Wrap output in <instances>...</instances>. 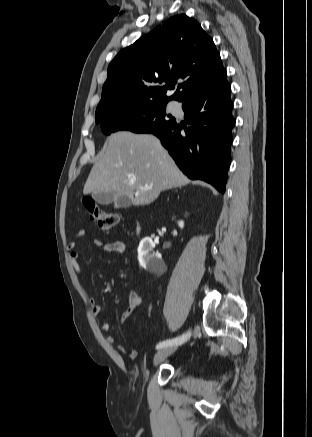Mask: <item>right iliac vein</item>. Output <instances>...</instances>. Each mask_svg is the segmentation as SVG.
Returning a JSON list of instances; mask_svg holds the SVG:
<instances>
[{"instance_id": "1", "label": "right iliac vein", "mask_w": 312, "mask_h": 437, "mask_svg": "<svg viewBox=\"0 0 312 437\" xmlns=\"http://www.w3.org/2000/svg\"><path fill=\"white\" fill-rule=\"evenodd\" d=\"M177 345L166 346L159 350L154 356V365H158L163 360H165L168 356L174 353L177 349Z\"/></svg>"}]
</instances>
